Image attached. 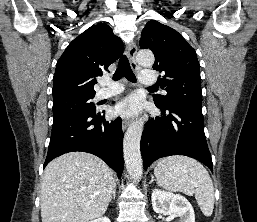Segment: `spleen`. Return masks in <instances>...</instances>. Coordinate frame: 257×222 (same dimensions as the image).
<instances>
[{"label":"spleen","instance_id":"obj_1","mask_svg":"<svg viewBox=\"0 0 257 222\" xmlns=\"http://www.w3.org/2000/svg\"><path fill=\"white\" fill-rule=\"evenodd\" d=\"M157 183L168 191L195 194L202 213L209 217L214 209V187L204 166L185 156H169L159 160L154 169Z\"/></svg>","mask_w":257,"mask_h":222}]
</instances>
